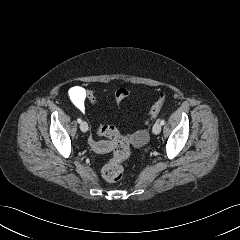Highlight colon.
<instances>
[{
  "label": "colon",
  "instance_id": "5ec220e1",
  "mask_svg": "<svg viewBox=\"0 0 240 240\" xmlns=\"http://www.w3.org/2000/svg\"><path fill=\"white\" fill-rule=\"evenodd\" d=\"M129 96V91L125 87H120L115 91V101L119 105ZM86 98L87 100L94 104L96 102V96L93 90H86ZM167 99V95L165 92H160L151 105L148 118L152 119L156 117V115L161 110L163 104ZM98 132L100 135L109 138L113 141V157L109 162H107L102 168V176L103 178L109 182L114 183L119 181L123 176V164L128 159L130 155V144L131 141L126 137L122 136L117 128L111 125H100L98 128ZM132 142L136 145L143 142L142 137L132 138Z\"/></svg>",
  "mask_w": 240,
  "mask_h": 240
}]
</instances>
